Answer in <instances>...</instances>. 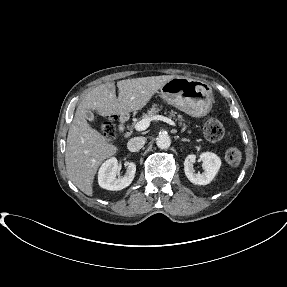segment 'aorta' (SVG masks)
<instances>
[{
	"instance_id": "762f6f07",
	"label": "aorta",
	"mask_w": 287,
	"mask_h": 287,
	"mask_svg": "<svg viewBox=\"0 0 287 287\" xmlns=\"http://www.w3.org/2000/svg\"><path fill=\"white\" fill-rule=\"evenodd\" d=\"M156 145L160 149H167L171 145V139L168 134L162 133L156 138Z\"/></svg>"
}]
</instances>
